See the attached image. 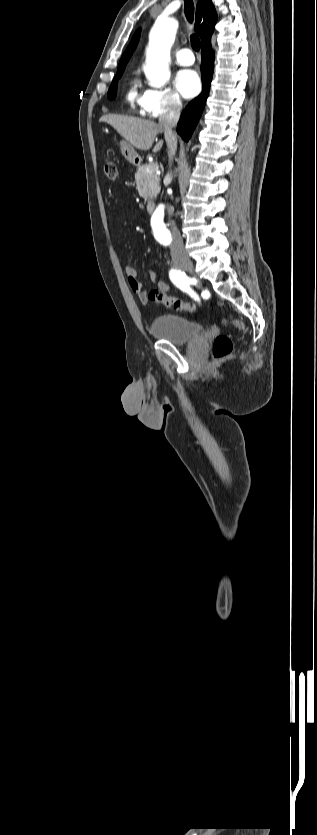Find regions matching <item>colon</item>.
I'll use <instances>...</instances> for the list:
<instances>
[{"label":"colon","mask_w":317,"mask_h":835,"mask_svg":"<svg viewBox=\"0 0 317 835\" xmlns=\"http://www.w3.org/2000/svg\"><path fill=\"white\" fill-rule=\"evenodd\" d=\"M104 172L109 180H115L117 178V168L115 163L112 161H107L105 163ZM147 297L148 300L153 303L162 304L164 306L171 307L176 310L188 312L195 311V306L193 304L185 302L176 296L168 295L159 289L151 290L148 293ZM224 324H231L240 330L244 329L243 323L238 320L225 319ZM232 351L233 342L228 335H219L214 339L212 345V355L214 359H224L227 356H229L232 353Z\"/></svg>","instance_id":"colon-1"}]
</instances>
